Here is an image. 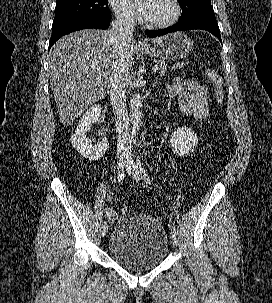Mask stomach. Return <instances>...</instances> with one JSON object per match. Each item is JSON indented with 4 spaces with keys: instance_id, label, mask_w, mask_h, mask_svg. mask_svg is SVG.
I'll use <instances>...</instances> for the list:
<instances>
[{
    "instance_id": "stomach-1",
    "label": "stomach",
    "mask_w": 272,
    "mask_h": 303,
    "mask_svg": "<svg viewBox=\"0 0 272 303\" xmlns=\"http://www.w3.org/2000/svg\"><path fill=\"white\" fill-rule=\"evenodd\" d=\"M193 46V42L181 32L163 36L159 41L141 48L145 54L161 60H179L184 58Z\"/></svg>"
}]
</instances>
